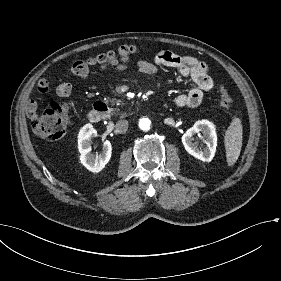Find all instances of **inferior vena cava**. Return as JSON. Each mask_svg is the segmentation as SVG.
Masks as SVG:
<instances>
[{
    "label": "inferior vena cava",
    "instance_id": "1",
    "mask_svg": "<svg viewBox=\"0 0 281 281\" xmlns=\"http://www.w3.org/2000/svg\"><path fill=\"white\" fill-rule=\"evenodd\" d=\"M129 122L127 120H118L116 122V130L119 133H125L128 130Z\"/></svg>",
    "mask_w": 281,
    "mask_h": 281
}]
</instances>
